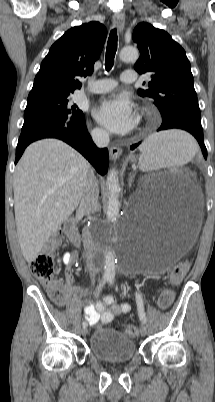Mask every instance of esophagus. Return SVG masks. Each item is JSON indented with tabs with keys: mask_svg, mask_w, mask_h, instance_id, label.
Instances as JSON below:
<instances>
[{
	"mask_svg": "<svg viewBox=\"0 0 215 402\" xmlns=\"http://www.w3.org/2000/svg\"><path fill=\"white\" fill-rule=\"evenodd\" d=\"M125 21V15L122 12H116L113 16V24L119 30L122 29ZM122 154V149L117 146H112L109 150V157L112 161H116Z\"/></svg>",
	"mask_w": 215,
	"mask_h": 402,
	"instance_id": "1",
	"label": "esophagus"
}]
</instances>
